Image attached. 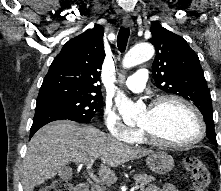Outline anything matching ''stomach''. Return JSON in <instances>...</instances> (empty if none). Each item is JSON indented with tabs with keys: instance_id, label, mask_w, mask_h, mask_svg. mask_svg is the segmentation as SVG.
I'll return each mask as SVG.
<instances>
[{
	"instance_id": "stomach-1",
	"label": "stomach",
	"mask_w": 221,
	"mask_h": 191,
	"mask_svg": "<svg viewBox=\"0 0 221 191\" xmlns=\"http://www.w3.org/2000/svg\"><path fill=\"white\" fill-rule=\"evenodd\" d=\"M146 164L155 173L166 174L174 167V160L171 155L164 151L151 153L146 158Z\"/></svg>"
}]
</instances>
